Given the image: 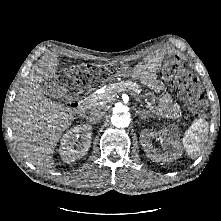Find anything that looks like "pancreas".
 I'll return each instance as SVG.
<instances>
[{
	"mask_svg": "<svg viewBox=\"0 0 221 221\" xmlns=\"http://www.w3.org/2000/svg\"><path fill=\"white\" fill-rule=\"evenodd\" d=\"M131 91L136 94H140L142 92L141 86L133 82L131 80L120 81L118 83H112L107 88H103L101 92L97 95H92L91 102L95 103L99 100H107L112 98L116 93ZM152 95L151 93H146L145 96ZM146 108H149L152 113H154L159 118H171L176 119L181 116V112L179 106L175 105L172 109H170L167 105L160 104L155 106L156 98L154 96L151 97V101H148V98H145ZM179 122V120H178Z\"/></svg>",
	"mask_w": 221,
	"mask_h": 221,
	"instance_id": "cf45deb5",
	"label": "pancreas"
}]
</instances>
